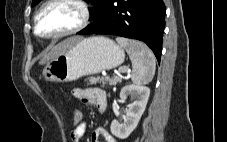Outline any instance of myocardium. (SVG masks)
I'll use <instances>...</instances> for the list:
<instances>
[{
  "instance_id": "myocardium-1",
  "label": "myocardium",
  "mask_w": 227,
  "mask_h": 142,
  "mask_svg": "<svg viewBox=\"0 0 227 142\" xmlns=\"http://www.w3.org/2000/svg\"><path fill=\"white\" fill-rule=\"evenodd\" d=\"M56 3H73L75 4L81 12V18L79 23L74 26L73 28L60 32V33H56V34H50V35H45L39 32L38 30V20H39V16L42 13V11L52 5V4H56ZM91 19V8L90 5L88 4V2H86L85 0H46L37 10L35 16H34V33L41 37V38H45V39H58V38H62L65 36H69L72 34H75L79 31H81L83 28H85L89 21Z\"/></svg>"
}]
</instances>
